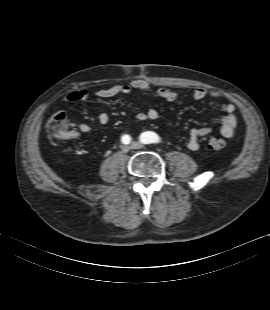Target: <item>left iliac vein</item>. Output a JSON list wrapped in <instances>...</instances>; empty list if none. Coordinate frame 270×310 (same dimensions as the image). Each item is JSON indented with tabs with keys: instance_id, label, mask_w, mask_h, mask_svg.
Instances as JSON below:
<instances>
[{
	"instance_id": "1",
	"label": "left iliac vein",
	"mask_w": 270,
	"mask_h": 310,
	"mask_svg": "<svg viewBox=\"0 0 270 310\" xmlns=\"http://www.w3.org/2000/svg\"><path fill=\"white\" fill-rule=\"evenodd\" d=\"M144 147V144L139 141H134L131 143L132 149H142Z\"/></svg>"
}]
</instances>
